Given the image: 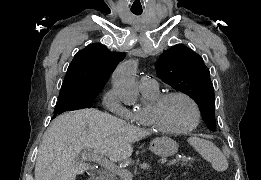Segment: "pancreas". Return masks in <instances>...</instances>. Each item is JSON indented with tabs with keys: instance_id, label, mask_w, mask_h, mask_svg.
<instances>
[{
	"instance_id": "cf45deb5",
	"label": "pancreas",
	"mask_w": 261,
	"mask_h": 180,
	"mask_svg": "<svg viewBox=\"0 0 261 180\" xmlns=\"http://www.w3.org/2000/svg\"><path fill=\"white\" fill-rule=\"evenodd\" d=\"M194 166V163L192 162L191 159H185L184 160V166H179V169H185V167H193ZM117 174V178L119 180L120 178V173H115Z\"/></svg>"
}]
</instances>
